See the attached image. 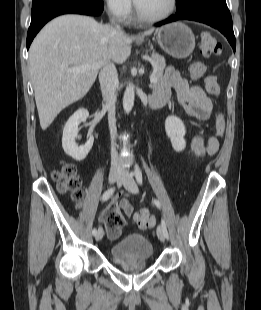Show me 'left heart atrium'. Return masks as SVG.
<instances>
[{"instance_id": "1", "label": "left heart atrium", "mask_w": 261, "mask_h": 310, "mask_svg": "<svg viewBox=\"0 0 261 310\" xmlns=\"http://www.w3.org/2000/svg\"><path fill=\"white\" fill-rule=\"evenodd\" d=\"M135 3H137L138 2V0H133Z\"/></svg>"}]
</instances>
